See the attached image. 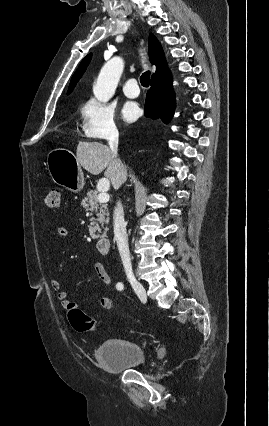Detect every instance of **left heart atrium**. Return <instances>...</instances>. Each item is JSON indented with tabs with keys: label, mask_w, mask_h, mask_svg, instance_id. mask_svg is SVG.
Listing matches in <instances>:
<instances>
[{
	"label": "left heart atrium",
	"mask_w": 269,
	"mask_h": 426,
	"mask_svg": "<svg viewBox=\"0 0 269 426\" xmlns=\"http://www.w3.org/2000/svg\"><path fill=\"white\" fill-rule=\"evenodd\" d=\"M140 108L135 102H126L122 108V117L127 122L136 120L140 115Z\"/></svg>",
	"instance_id": "left-heart-atrium-1"
}]
</instances>
